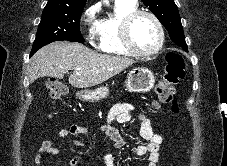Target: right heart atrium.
Masks as SVG:
<instances>
[{"mask_svg":"<svg viewBox=\"0 0 227 166\" xmlns=\"http://www.w3.org/2000/svg\"><path fill=\"white\" fill-rule=\"evenodd\" d=\"M97 6L92 5L88 7L82 16V22L86 28V36L89 41H94L97 32H96V27H97V21H96V15H97Z\"/></svg>","mask_w":227,"mask_h":166,"instance_id":"d8ad5b80","label":"right heart atrium"}]
</instances>
